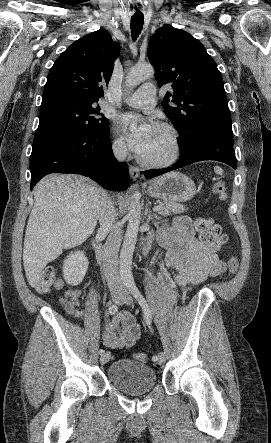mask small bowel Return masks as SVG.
<instances>
[{
    "label": "small bowel",
    "mask_w": 271,
    "mask_h": 443,
    "mask_svg": "<svg viewBox=\"0 0 271 443\" xmlns=\"http://www.w3.org/2000/svg\"><path fill=\"white\" fill-rule=\"evenodd\" d=\"M164 242L165 262L176 272L175 283L181 288L218 276L226 269L225 262L194 237L191 220L187 217L175 219L164 234ZM82 293L81 289L67 290L61 300L65 312L73 319H84V312L80 309ZM140 333L141 327L134 316L122 312L105 325L102 340L112 349L130 348Z\"/></svg>",
    "instance_id": "c3829d8e"
}]
</instances>
